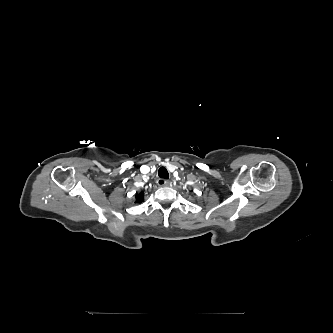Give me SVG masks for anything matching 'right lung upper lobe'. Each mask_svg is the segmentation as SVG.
<instances>
[{
	"label": "right lung upper lobe",
	"instance_id": "cb5924a9",
	"mask_svg": "<svg viewBox=\"0 0 333 333\" xmlns=\"http://www.w3.org/2000/svg\"><path fill=\"white\" fill-rule=\"evenodd\" d=\"M144 200V194L141 192L136 195V202L141 203Z\"/></svg>",
	"mask_w": 333,
	"mask_h": 333
}]
</instances>
